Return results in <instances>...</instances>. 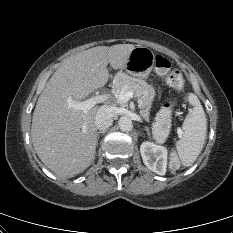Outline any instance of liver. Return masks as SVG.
Returning a JSON list of instances; mask_svg holds the SVG:
<instances>
[{
    "label": "liver",
    "instance_id": "1",
    "mask_svg": "<svg viewBox=\"0 0 233 233\" xmlns=\"http://www.w3.org/2000/svg\"><path fill=\"white\" fill-rule=\"evenodd\" d=\"M133 44L97 46L66 58L40 94L32 117L33 147L40 160L60 177L89 167L97 145V106L87 113L68 106L81 101L109 79L107 65L124 68Z\"/></svg>",
    "mask_w": 233,
    "mask_h": 233
}]
</instances>
